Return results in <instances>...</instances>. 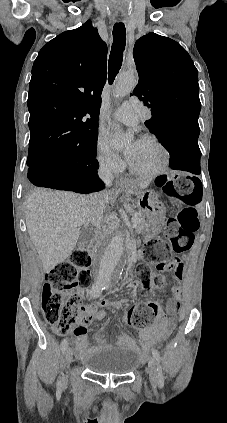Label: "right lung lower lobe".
Returning a JSON list of instances; mask_svg holds the SVG:
<instances>
[{"label":"right lung lower lobe","instance_id":"obj_1","mask_svg":"<svg viewBox=\"0 0 227 423\" xmlns=\"http://www.w3.org/2000/svg\"><path fill=\"white\" fill-rule=\"evenodd\" d=\"M96 156L62 158L50 155L28 168V179L39 187L91 193L103 188L97 176L99 164Z\"/></svg>","mask_w":227,"mask_h":423}]
</instances>
